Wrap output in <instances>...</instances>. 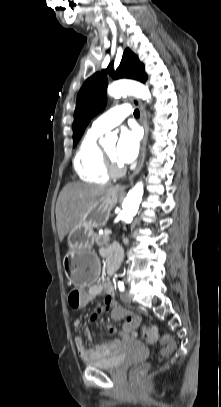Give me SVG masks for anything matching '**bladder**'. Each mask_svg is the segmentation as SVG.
Returning a JSON list of instances; mask_svg holds the SVG:
<instances>
[{"label":"bladder","instance_id":"obj_1","mask_svg":"<svg viewBox=\"0 0 221 407\" xmlns=\"http://www.w3.org/2000/svg\"><path fill=\"white\" fill-rule=\"evenodd\" d=\"M125 361V356L119 352L116 354L100 360H89L85 364L89 367L104 369V370H118Z\"/></svg>","mask_w":221,"mask_h":407}]
</instances>
